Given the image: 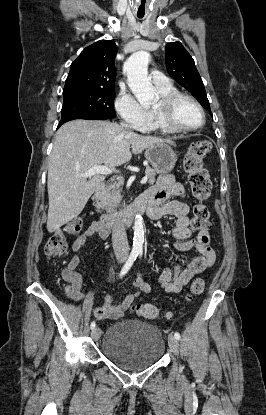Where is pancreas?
Segmentation results:
<instances>
[{"instance_id":"obj_1","label":"pancreas","mask_w":266,"mask_h":415,"mask_svg":"<svg viewBox=\"0 0 266 415\" xmlns=\"http://www.w3.org/2000/svg\"><path fill=\"white\" fill-rule=\"evenodd\" d=\"M145 175L148 177V183L153 185L155 183L156 171L147 165ZM123 182L124 180L122 178H113L112 183L103 189L95 204L98 212L106 211L107 213H115L117 208H120Z\"/></svg>"}]
</instances>
